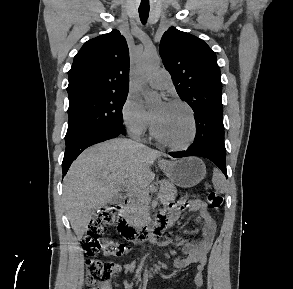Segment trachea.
I'll return each instance as SVG.
<instances>
[{
  "mask_svg": "<svg viewBox=\"0 0 293 289\" xmlns=\"http://www.w3.org/2000/svg\"><path fill=\"white\" fill-rule=\"evenodd\" d=\"M139 15L140 19L143 24L147 22L148 16H149V9H141L139 8Z\"/></svg>",
  "mask_w": 293,
  "mask_h": 289,
  "instance_id": "trachea-1",
  "label": "trachea"
}]
</instances>
